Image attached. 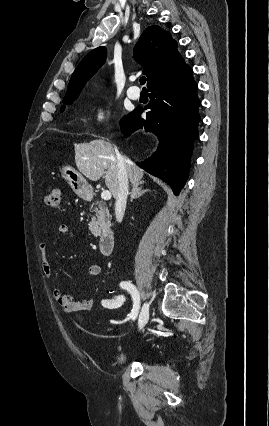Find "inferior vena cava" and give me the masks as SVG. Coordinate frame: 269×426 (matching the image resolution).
Returning <instances> with one entry per match:
<instances>
[{
	"label": "inferior vena cava",
	"instance_id": "obj_1",
	"mask_svg": "<svg viewBox=\"0 0 269 426\" xmlns=\"http://www.w3.org/2000/svg\"><path fill=\"white\" fill-rule=\"evenodd\" d=\"M115 152L118 168L117 192L115 194V214L117 221L121 222L124 217L127 197L129 194V181L126 161L117 149H115Z\"/></svg>",
	"mask_w": 269,
	"mask_h": 426
}]
</instances>
